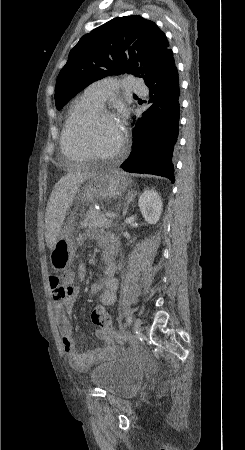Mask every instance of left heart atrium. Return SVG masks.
<instances>
[{"label":"left heart atrium","instance_id":"obj_1","mask_svg":"<svg viewBox=\"0 0 245 450\" xmlns=\"http://www.w3.org/2000/svg\"><path fill=\"white\" fill-rule=\"evenodd\" d=\"M117 126H118V129H119V131L121 132V134H122V132H123V122H117Z\"/></svg>","mask_w":245,"mask_h":450}]
</instances>
